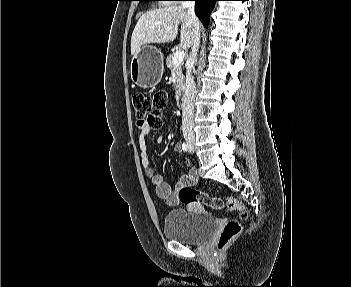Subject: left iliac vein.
Returning a JSON list of instances; mask_svg holds the SVG:
<instances>
[{
	"label": "left iliac vein",
	"instance_id": "1",
	"mask_svg": "<svg viewBox=\"0 0 351 287\" xmlns=\"http://www.w3.org/2000/svg\"><path fill=\"white\" fill-rule=\"evenodd\" d=\"M189 151H190V153H193V148L189 147Z\"/></svg>",
	"mask_w": 351,
	"mask_h": 287
}]
</instances>
